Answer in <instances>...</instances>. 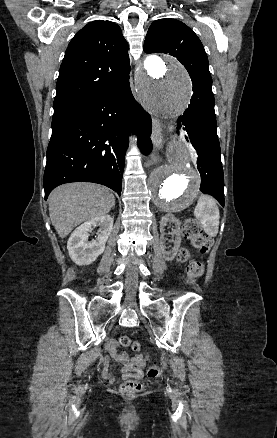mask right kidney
Wrapping results in <instances>:
<instances>
[{"label": "right kidney", "mask_w": 277, "mask_h": 438, "mask_svg": "<svg viewBox=\"0 0 277 438\" xmlns=\"http://www.w3.org/2000/svg\"><path fill=\"white\" fill-rule=\"evenodd\" d=\"M113 218L111 216H98L89 222H84L79 228L72 232L68 244V254L77 266H88L97 260L105 250V244L113 228ZM93 226H98V234L95 240L89 242L88 238Z\"/></svg>", "instance_id": "1"}]
</instances>
